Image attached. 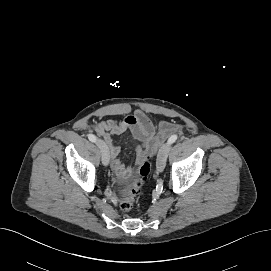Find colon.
Returning <instances> with one entry per match:
<instances>
[{
  "instance_id": "colon-1",
  "label": "colon",
  "mask_w": 271,
  "mask_h": 271,
  "mask_svg": "<svg viewBox=\"0 0 271 271\" xmlns=\"http://www.w3.org/2000/svg\"><path fill=\"white\" fill-rule=\"evenodd\" d=\"M151 163H152V157L150 158L148 157L143 162H141L136 168L132 186L129 189L128 194L120 202V208L123 211L129 212L130 210L133 209L136 203L137 197L140 193L141 187L144 181L150 175Z\"/></svg>"
}]
</instances>
